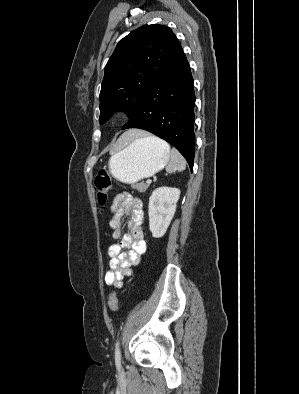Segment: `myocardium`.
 I'll list each match as a JSON object with an SVG mask.
<instances>
[{
    "instance_id": "myocardium-1",
    "label": "myocardium",
    "mask_w": 299,
    "mask_h": 394,
    "mask_svg": "<svg viewBox=\"0 0 299 394\" xmlns=\"http://www.w3.org/2000/svg\"><path fill=\"white\" fill-rule=\"evenodd\" d=\"M124 119H125V114H124V112H117V113H115V114L112 116L111 121H112V123H114V124H120V123H122V122L124 121Z\"/></svg>"
}]
</instances>
